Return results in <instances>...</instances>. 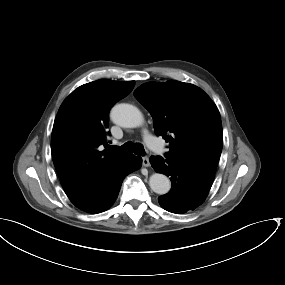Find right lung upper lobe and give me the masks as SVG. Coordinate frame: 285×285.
I'll return each mask as SVG.
<instances>
[{
    "label": "right lung upper lobe",
    "instance_id": "1",
    "mask_svg": "<svg viewBox=\"0 0 285 285\" xmlns=\"http://www.w3.org/2000/svg\"><path fill=\"white\" fill-rule=\"evenodd\" d=\"M134 85V81H93L75 89L59 108L51 153L61 185L75 206L88 199L132 156L100 151L99 146H109L106 128L111 107Z\"/></svg>",
    "mask_w": 285,
    "mask_h": 285
}]
</instances>
